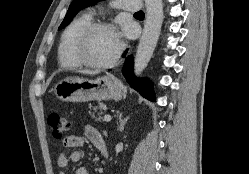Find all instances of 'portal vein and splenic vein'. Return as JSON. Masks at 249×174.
<instances>
[{
	"instance_id": "18ae733b",
	"label": "portal vein and splenic vein",
	"mask_w": 249,
	"mask_h": 174,
	"mask_svg": "<svg viewBox=\"0 0 249 174\" xmlns=\"http://www.w3.org/2000/svg\"><path fill=\"white\" fill-rule=\"evenodd\" d=\"M104 121L109 122L111 121V116L109 114L104 116Z\"/></svg>"
}]
</instances>
